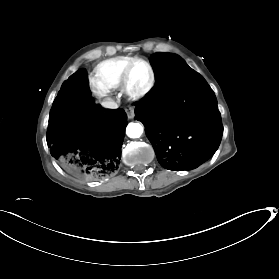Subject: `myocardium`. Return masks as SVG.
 <instances>
[{
  "instance_id": "1",
  "label": "myocardium",
  "mask_w": 279,
  "mask_h": 279,
  "mask_svg": "<svg viewBox=\"0 0 279 279\" xmlns=\"http://www.w3.org/2000/svg\"><path fill=\"white\" fill-rule=\"evenodd\" d=\"M142 62L147 65L150 71V81L148 85L141 91H134L129 82L131 68L134 63ZM156 84V72L153 65L145 58L142 57H132L126 64L123 74H122V91L131 100H138L146 97L155 87Z\"/></svg>"
}]
</instances>
